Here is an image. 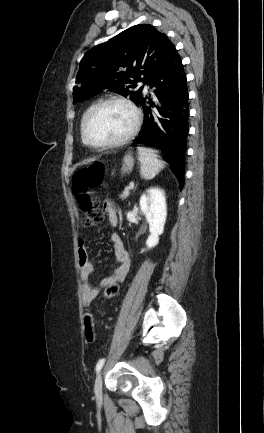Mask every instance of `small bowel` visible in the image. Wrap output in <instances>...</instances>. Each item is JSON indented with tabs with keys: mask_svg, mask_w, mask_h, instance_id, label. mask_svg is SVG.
Returning a JSON list of instances; mask_svg holds the SVG:
<instances>
[{
	"mask_svg": "<svg viewBox=\"0 0 264 433\" xmlns=\"http://www.w3.org/2000/svg\"><path fill=\"white\" fill-rule=\"evenodd\" d=\"M103 210L107 213L111 226L116 227L118 225V214L114 204L106 199L103 204ZM112 242L117 267L111 275L103 278L100 281V287H97L90 283V276L94 272V265L89 259L84 240L80 239L79 241L78 262L82 279V294L84 304L88 307L84 314L83 326L85 338L89 343L95 341L94 317L89 309V305L97 298L101 287L124 281L131 267L130 255L117 233L112 235Z\"/></svg>",
	"mask_w": 264,
	"mask_h": 433,
	"instance_id": "c3829d8e",
	"label": "small bowel"
}]
</instances>
